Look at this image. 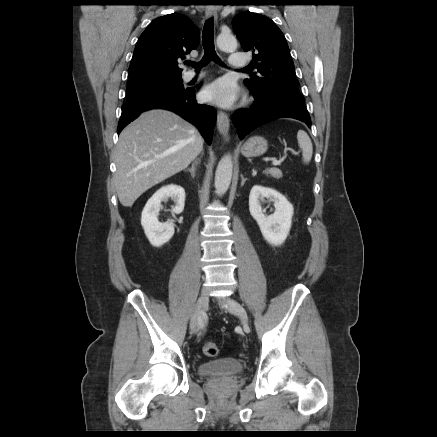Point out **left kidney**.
I'll return each instance as SVG.
<instances>
[{
  "label": "left kidney",
  "mask_w": 437,
  "mask_h": 437,
  "mask_svg": "<svg viewBox=\"0 0 437 437\" xmlns=\"http://www.w3.org/2000/svg\"><path fill=\"white\" fill-rule=\"evenodd\" d=\"M267 198L274 203L275 211L266 216L261 203ZM249 211L256 220L264 239L274 246H279L286 240L292 225L294 208L292 204L278 191L255 185L249 195Z\"/></svg>",
  "instance_id": "left-kidney-1"
}]
</instances>
